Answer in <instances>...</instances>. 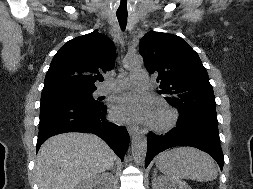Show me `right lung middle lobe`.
Listing matches in <instances>:
<instances>
[{
  "label": "right lung middle lobe",
  "instance_id": "dd1d6c3e",
  "mask_svg": "<svg viewBox=\"0 0 253 189\" xmlns=\"http://www.w3.org/2000/svg\"><path fill=\"white\" fill-rule=\"evenodd\" d=\"M96 89H74V88H61V89H51L42 91L41 101L48 100H68L83 103L96 104L99 103L95 101L92 97V93Z\"/></svg>",
  "mask_w": 253,
  "mask_h": 189
}]
</instances>
